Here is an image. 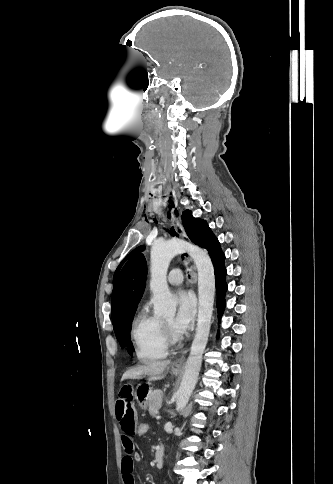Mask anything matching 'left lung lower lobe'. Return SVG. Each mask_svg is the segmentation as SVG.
Instances as JSON below:
<instances>
[{
	"label": "left lung lower lobe",
	"mask_w": 333,
	"mask_h": 484,
	"mask_svg": "<svg viewBox=\"0 0 333 484\" xmlns=\"http://www.w3.org/2000/svg\"><path fill=\"white\" fill-rule=\"evenodd\" d=\"M200 247L208 250L209 255L214 265L216 290H217V308L218 316L221 317L225 308V292L227 291V284L225 281L226 269L224 266V253L220 248L219 241L214 236L210 228L207 226L202 238Z\"/></svg>",
	"instance_id": "left-lung-lower-lobe-1"
}]
</instances>
